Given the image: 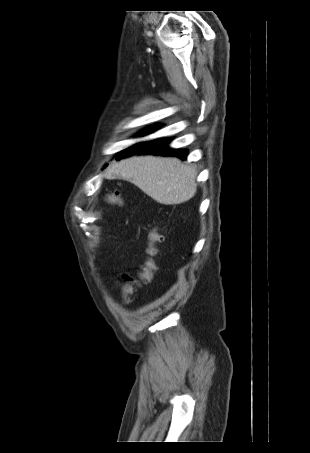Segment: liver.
Wrapping results in <instances>:
<instances>
[{
	"label": "liver",
	"mask_w": 310,
	"mask_h": 453,
	"mask_svg": "<svg viewBox=\"0 0 310 453\" xmlns=\"http://www.w3.org/2000/svg\"><path fill=\"white\" fill-rule=\"evenodd\" d=\"M119 175L131 181L155 201L165 204H181L196 193L195 168L177 158L159 156H134L121 160L109 168V179Z\"/></svg>",
	"instance_id": "1"
}]
</instances>
